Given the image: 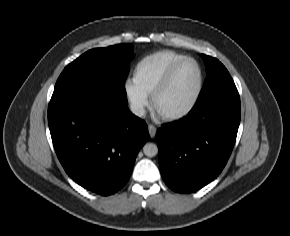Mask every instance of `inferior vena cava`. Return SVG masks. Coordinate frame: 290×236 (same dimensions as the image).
<instances>
[{
    "mask_svg": "<svg viewBox=\"0 0 290 236\" xmlns=\"http://www.w3.org/2000/svg\"><path fill=\"white\" fill-rule=\"evenodd\" d=\"M130 110H131V112H132L134 115H136V116H138V117H143V116L145 115V109H144V107L141 106V105H138V104H132V105L130 106Z\"/></svg>",
    "mask_w": 290,
    "mask_h": 236,
    "instance_id": "602c4592",
    "label": "inferior vena cava"
}]
</instances>
